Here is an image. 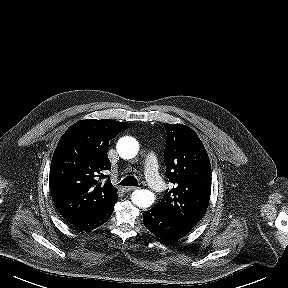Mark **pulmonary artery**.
<instances>
[{"instance_id": "1", "label": "pulmonary artery", "mask_w": 288, "mask_h": 288, "mask_svg": "<svg viewBox=\"0 0 288 288\" xmlns=\"http://www.w3.org/2000/svg\"><path fill=\"white\" fill-rule=\"evenodd\" d=\"M144 172L146 181L151 189L156 192H161L165 185L159 175L157 159L153 153H149L145 158Z\"/></svg>"}]
</instances>
